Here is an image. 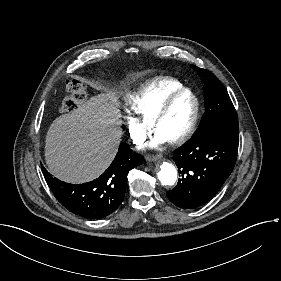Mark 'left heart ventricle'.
<instances>
[{"label":"left heart ventricle","mask_w":281,"mask_h":281,"mask_svg":"<svg viewBox=\"0 0 281 281\" xmlns=\"http://www.w3.org/2000/svg\"><path fill=\"white\" fill-rule=\"evenodd\" d=\"M193 110L194 100L190 95L186 94L178 98L157 123L155 134L166 141L176 137L188 124Z\"/></svg>","instance_id":"left-heart-ventricle-1"}]
</instances>
